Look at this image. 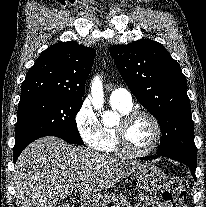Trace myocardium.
Returning <instances> with one entry per match:
<instances>
[{
  "label": "myocardium",
  "instance_id": "myocardium-1",
  "mask_svg": "<svg viewBox=\"0 0 206 207\" xmlns=\"http://www.w3.org/2000/svg\"><path fill=\"white\" fill-rule=\"evenodd\" d=\"M139 117H146L148 118L155 130V135H154V139L152 141V143L150 144V146L148 148H146L145 150L142 151H136L133 150L127 142V138H126V129L128 127V125L135 120L136 118ZM115 130V134H116V139H117V145H118V149L131 157H145L148 156L149 154H151L159 145L161 139H162V127L160 122L158 121V119L149 111L146 110H131L129 111L127 114H124L121 117V120L119 122V124L114 128Z\"/></svg>",
  "mask_w": 206,
  "mask_h": 207
}]
</instances>
